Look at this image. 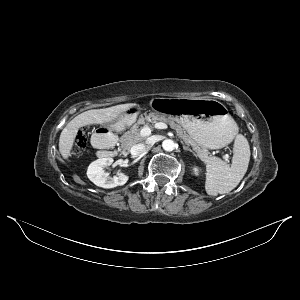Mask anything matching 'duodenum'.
<instances>
[{
    "mask_svg": "<svg viewBox=\"0 0 300 300\" xmlns=\"http://www.w3.org/2000/svg\"><path fill=\"white\" fill-rule=\"evenodd\" d=\"M113 142V135L109 131H100L93 135V143L98 149L99 156L102 158L108 157L113 153V150L110 149Z\"/></svg>",
    "mask_w": 300,
    "mask_h": 300,
    "instance_id": "duodenum-1",
    "label": "duodenum"
}]
</instances>
